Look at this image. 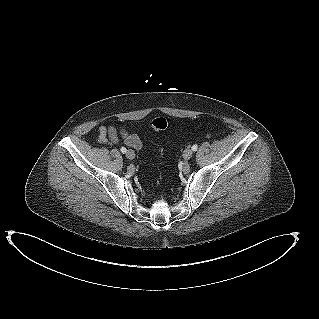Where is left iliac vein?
Here are the masks:
<instances>
[{
    "label": "left iliac vein",
    "mask_w": 319,
    "mask_h": 319,
    "mask_svg": "<svg viewBox=\"0 0 319 319\" xmlns=\"http://www.w3.org/2000/svg\"><path fill=\"white\" fill-rule=\"evenodd\" d=\"M192 155H193V151L188 148V149H185V150H184L183 158H184L185 160H189V159L192 157Z\"/></svg>",
    "instance_id": "obj_1"
}]
</instances>
